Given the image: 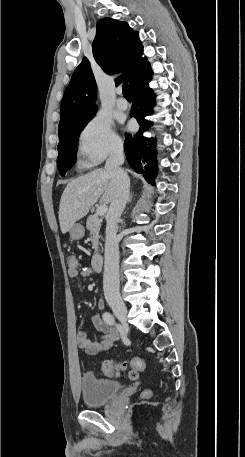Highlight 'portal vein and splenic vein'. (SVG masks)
<instances>
[{
    "mask_svg": "<svg viewBox=\"0 0 245 457\" xmlns=\"http://www.w3.org/2000/svg\"><path fill=\"white\" fill-rule=\"evenodd\" d=\"M108 210V206L107 204H100V206H98V208H96V214H106Z\"/></svg>",
    "mask_w": 245,
    "mask_h": 457,
    "instance_id": "obj_1",
    "label": "portal vein and splenic vein"
}]
</instances>
